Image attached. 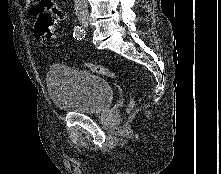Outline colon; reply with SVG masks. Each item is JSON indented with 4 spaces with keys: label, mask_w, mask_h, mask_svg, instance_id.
Instances as JSON below:
<instances>
[{
    "label": "colon",
    "mask_w": 221,
    "mask_h": 174,
    "mask_svg": "<svg viewBox=\"0 0 221 174\" xmlns=\"http://www.w3.org/2000/svg\"><path fill=\"white\" fill-rule=\"evenodd\" d=\"M35 34L41 40L55 41L57 39V34L54 30V19L51 15L42 14L38 17L35 23ZM84 67L89 71L106 77H116L115 73L101 65L86 63Z\"/></svg>",
    "instance_id": "5ec220e1"
}]
</instances>
